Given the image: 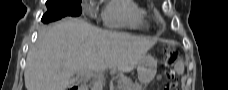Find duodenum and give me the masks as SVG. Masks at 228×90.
<instances>
[{
  "mask_svg": "<svg viewBox=\"0 0 228 90\" xmlns=\"http://www.w3.org/2000/svg\"><path fill=\"white\" fill-rule=\"evenodd\" d=\"M70 90H80L78 86H73L70 88Z\"/></svg>",
  "mask_w": 228,
  "mask_h": 90,
  "instance_id": "1",
  "label": "duodenum"
}]
</instances>
